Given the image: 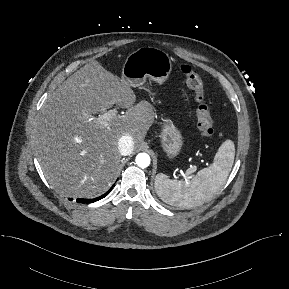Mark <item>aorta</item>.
<instances>
[{
    "label": "aorta",
    "mask_w": 289,
    "mask_h": 289,
    "mask_svg": "<svg viewBox=\"0 0 289 289\" xmlns=\"http://www.w3.org/2000/svg\"><path fill=\"white\" fill-rule=\"evenodd\" d=\"M150 156L147 153H139L136 156V164L141 168H146L150 165Z\"/></svg>",
    "instance_id": "762f6f07"
}]
</instances>
